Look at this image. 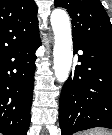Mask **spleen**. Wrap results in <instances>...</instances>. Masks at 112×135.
I'll use <instances>...</instances> for the list:
<instances>
[{
  "mask_svg": "<svg viewBox=\"0 0 112 135\" xmlns=\"http://www.w3.org/2000/svg\"><path fill=\"white\" fill-rule=\"evenodd\" d=\"M79 135H112V132H110L106 129H103V128H95V129H92L88 132H84Z\"/></svg>",
  "mask_w": 112,
  "mask_h": 135,
  "instance_id": "obj_1",
  "label": "spleen"
}]
</instances>
